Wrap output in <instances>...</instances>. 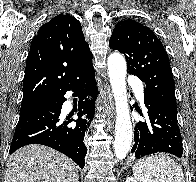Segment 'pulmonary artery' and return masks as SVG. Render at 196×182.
<instances>
[{"instance_id": "1", "label": "pulmonary artery", "mask_w": 196, "mask_h": 182, "mask_svg": "<svg viewBox=\"0 0 196 182\" xmlns=\"http://www.w3.org/2000/svg\"><path fill=\"white\" fill-rule=\"evenodd\" d=\"M130 84L133 85V86H137L139 84V81H138V79H136V78L133 77V78L130 79ZM135 93H136L137 98L141 102H143L144 95H143L142 89L139 88V87H135Z\"/></svg>"}]
</instances>
